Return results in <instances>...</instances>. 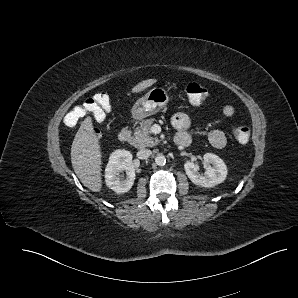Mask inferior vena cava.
Masks as SVG:
<instances>
[{"mask_svg": "<svg viewBox=\"0 0 298 298\" xmlns=\"http://www.w3.org/2000/svg\"><path fill=\"white\" fill-rule=\"evenodd\" d=\"M152 151L149 149H141L137 152V157L139 159H147L151 156Z\"/></svg>", "mask_w": 298, "mask_h": 298, "instance_id": "obj_1", "label": "inferior vena cava"}]
</instances>
